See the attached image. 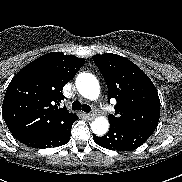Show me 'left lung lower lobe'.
<instances>
[{
	"label": "left lung lower lobe",
	"instance_id": "left-lung-lower-lobe-1",
	"mask_svg": "<svg viewBox=\"0 0 182 182\" xmlns=\"http://www.w3.org/2000/svg\"><path fill=\"white\" fill-rule=\"evenodd\" d=\"M153 132L146 128L110 123V130L105 136L94 135L93 138L101 147L116 151H130L145 143Z\"/></svg>",
	"mask_w": 182,
	"mask_h": 182
}]
</instances>
